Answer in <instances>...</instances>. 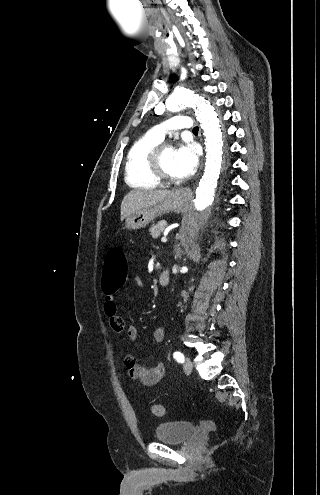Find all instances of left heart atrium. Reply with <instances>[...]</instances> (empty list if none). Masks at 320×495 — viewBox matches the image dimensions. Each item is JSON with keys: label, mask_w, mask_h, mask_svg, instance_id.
<instances>
[{"label": "left heart atrium", "mask_w": 320, "mask_h": 495, "mask_svg": "<svg viewBox=\"0 0 320 495\" xmlns=\"http://www.w3.org/2000/svg\"><path fill=\"white\" fill-rule=\"evenodd\" d=\"M198 164L196 149L191 144L180 145L174 151V170L177 177L187 178L191 176Z\"/></svg>", "instance_id": "left-heart-atrium-1"}]
</instances>
